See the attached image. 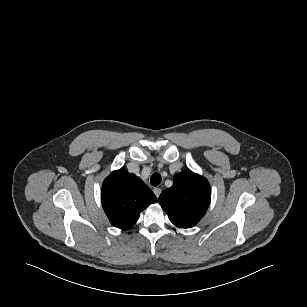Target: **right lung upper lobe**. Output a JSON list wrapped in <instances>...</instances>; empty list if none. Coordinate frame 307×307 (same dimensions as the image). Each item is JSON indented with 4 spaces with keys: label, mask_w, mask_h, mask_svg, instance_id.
Instances as JSON below:
<instances>
[{
    "label": "right lung upper lobe",
    "mask_w": 307,
    "mask_h": 307,
    "mask_svg": "<svg viewBox=\"0 0 307 307\" xmlns=\"http://www.w3.org/2000/svg\"><path fill=\"white\" fill-rule=\"evenodd\" d=\"M101 202L111 224L128 229L136 223L140 212L156 203L157 198L136 175L116 170L102 184Z\"/></svg>",
    "instance_id": "right-lung-upper-lobe-1"
}]
</instances>
